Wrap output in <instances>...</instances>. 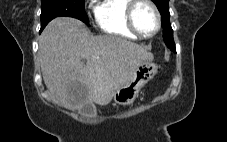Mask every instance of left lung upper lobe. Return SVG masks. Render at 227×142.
Masks as SVG:
<instances>
[{"label":"left lung upper lobe","mask_w":227,"mask_h":142,"mask_svg":"<svg viewBox=\"0 0 227 142\" xmlns=\"http://www.w3.org/2000/svg\"><path fill=\"white\" fill-rule=\"evenodd\" d=\"M158 7L163 25V38L166 45L171 49L175 50V43L173 39V30L170 24V13H169V0H153Z\"/></svg>","instance_id":"5c2ea615"}]
</instances>
